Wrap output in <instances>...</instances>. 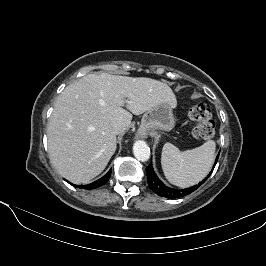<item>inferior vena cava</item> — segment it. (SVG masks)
<instances>
[{
    "mask_svg": "<svg viewBox=\"0 0 266 266\" xmlns=\"http://www.w3.org/2000/svg\"><path fill=\"white\" fill-rule=\"evenodd\" d=\"M111 128H112V131L118 135V134H121L125 131L126 129V125L124 123L123 120L121 119H117V120H114L112 123H111Z\"/></svg>",
    "mask_w": 266,
    "mask_h": 266,
    "instance_id": "602c4592",
    "label": "inferior vena cava"
}]
</instances>
